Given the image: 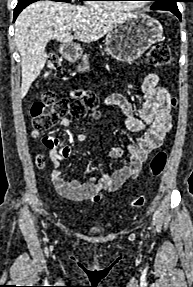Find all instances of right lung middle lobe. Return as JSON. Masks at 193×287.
<instances>
[{
    "label": "right lung middle lobe",
    "mask_w": 193,
    "mask_h": 287,
    "mask_svg": "<svg viewBox=\"0 0 193 287\" xmlns=\"http://www.w3.org/2000/svg\"><path fill=\"white\" fill-rule=\"evenodd\" d=\"M53 1H62V2H67V3H69L71 0H53ZM80 1H84V0H80Z\"/></svg>",
    "instance_id": "right-lung-middle-lobe-1"
}]
</instances>
